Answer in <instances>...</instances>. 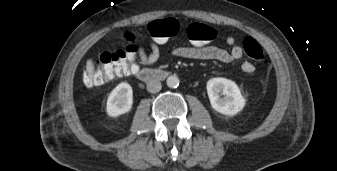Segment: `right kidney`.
Returning <instances> with one entry per match:
<instances>
[{
  "label": "right kidney",
  "instance_id": "ca27d5eb",
  "mask_svg": "<svg viewBox=\"0 0 337 171\" xmlns=\"http://www.w3.org/2000/svg\"><path fill=\"white\" fill-rule=\"evenodd\" d=\"M133 91L132 87L122 82L117 85L110 93L107 99V114L111 117H117L121 114L127 113L132 108Z\"/></svg>",
  "mask_w": 337,
  "mask_h": 171
}]
</instances>
